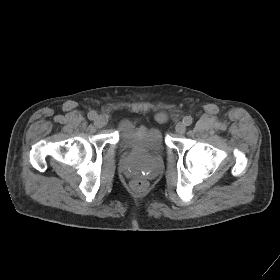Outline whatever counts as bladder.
Returning a JSON list of instances; mask_svg holds the SVG:
<instances>
[{"mask_svg": "<svg viewBox=\"0 0 280 280\" xmlns=\"http://www.w3.org/2000/svg\"><path fill=\"white\" fill-rule=\"evenodd\" d=\"M119 142L125 150L162 154L165 149L164 138L159 128L138 125L128 119L120 124Z\"/></svg>", "mask_w": 280, "mask_h": 280, "instance_id": "bladder-1", "label": "bladder"}]
</instances>
